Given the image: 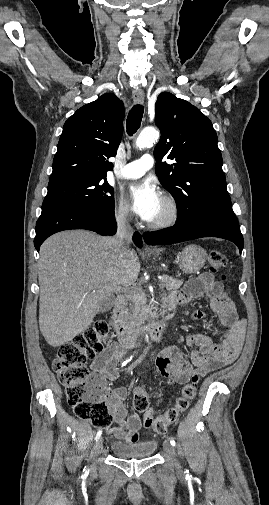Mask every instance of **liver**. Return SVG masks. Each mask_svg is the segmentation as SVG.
Instances as JSON below:
<instances>
[{
    "instance_id": "6515ba94",
    "label": "liver",
    "mask_w": 269,
    "mask_h": 505,
    "mask_svg": "<svg viewBox=\"0 0 269 505\" xmlns=\"http://www.w3.org/2000/svg\"><path fill=\"white\" fill-rule=\"evenodd\" d=\"M139 272L137 253L119 247L116 237L85 230L49 237L38 261L39 327L47 343L59 347L85 331L102 302L132 285Z\"/></svg>"
}]
</instances>
